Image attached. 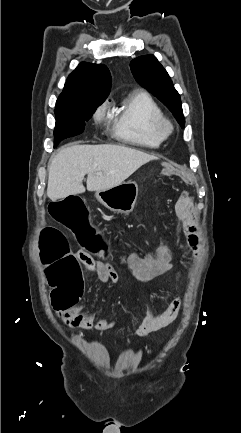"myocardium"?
Returning <instances> with one entry per match:
<instances>
[{
    "instance_id": "obj_1",
    "label": "myocardium",
    "mask_w": 241,
    "mask_h": 433,
    "mask_svg": "<svg viewBox=\"0 0 241 433\" xmlns=\"http://www.w3.org/2000/svg\"><path fill=\"white\" fill-rule=\"evenodd\" d=\"M157 132L161 135L163 139L168 138L172 135L174 131V126L172 122L167 118H162L156 125Z\"/></svg>"
}]
</instances>
